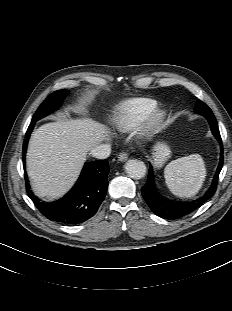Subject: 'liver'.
<instances>
[{
    "label": "liver",
    "mask_w": 232,
    "mask_h": 311,
    "mask_svg": "<svg viewBox=\"0 0 232 311\" xmlns=\"http://www.w3.org/2000/svg\"><path fill=\"white\" fill-rule=\"evenodd\" d=\"M109 138L91 119H63L40 126L31 137L27 172L36 195L56 199L76 181L88 151Z\"/></svg>",
    "instance_id": "liver-1"
}]
</instances>
